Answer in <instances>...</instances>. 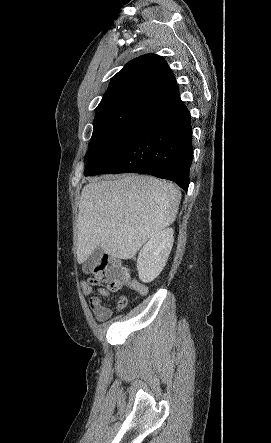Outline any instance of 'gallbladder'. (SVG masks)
<instances>
[{"mask_svg": "<svg viewBox=\"0 0 271 443\" xmlns=\"http://www.w3.org/2000/svg\"><path fill=\"white\" fill-rule=\"evenodd\" d=\"M100 253H103V249H102V247H97L95 253H92V255H90V257H88V259H86V261H84V263L82 265V269H83L84 273L96 272V270H97L96 265L91 264V263H92L93 257H99Z\"/></svg>", "mask_w": 271, "mask_h": 443, "instance_id": "bac80fb5", "label": "gallbladder"}]
</instances>
